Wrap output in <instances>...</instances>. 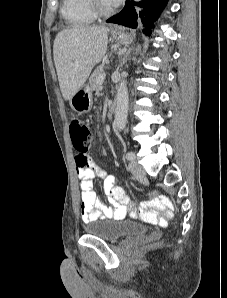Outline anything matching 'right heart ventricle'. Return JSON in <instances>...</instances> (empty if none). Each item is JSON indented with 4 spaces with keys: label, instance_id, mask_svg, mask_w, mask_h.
Here are the masks:
<instances>
[{
    "label": "right heart ventricle",
    "instance_id": "e07e8e85",
    "mask_svg": "<svg viewBox=\"0 0 227 298\" xmlns=\"http://www.w3.org/2000/svg\"><path fill=\"white\" fill-rule=\"evenodd\" d=\"M61 15L72 26H86L96 19L89 0H62Z\"/></svg>",
    "mask_w": 227,
    "mask_h": 298
}]
</instances>
